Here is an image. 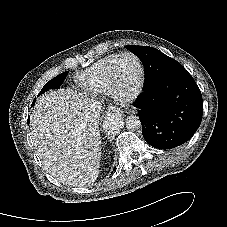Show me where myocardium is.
Returning <instances> with one entry per match:
<instances>
[{"mask_svg": "<svg viewBox=\"0 0 227 227\" xmlns=\"http://www.w3.org/2000/svg\"><path fill=\"white\" fill-rule=\"evenodd\" d=\"M126 56H130V57L134 58V60L136 61L137 65L139 67L138 83H137L135 89L129 94H124L120 91V89L117 85V82H116V77H115V71H116V66H117L118 62ZM108 82H109V94L115 100L122 102V103H129V102L134 101L141 94V92L143 90L144 82H145V68H144L142 60L139 58V56H137L136 54L129 52V51L119 54L109 68Z\"/></svg>", "mask_w": 227, "mask_h": 227, "instance_id": "1", "label": "myocardium"}]
</instances>
